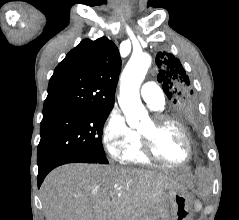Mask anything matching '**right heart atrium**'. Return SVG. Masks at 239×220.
I'll use <instances>...</instances> for the list:
<instances>
[{
  "label": "right heart atrium",
  "instance_id": "obj_1",
  "mask_svg": "<svg viewBox=\"0 0 239 220\" xmlns=\"http://www.w3.org/2000/svg\"><path fill=\"white\" fill-rule=\"evenodd\" d=\"M102 140L113 159H122L125 151L138 142L139 135L127 124L121 110L113 108L104 121Z\"/></svg>",
  "mask_w": 239,
  "mask_h": 220
}]
</instances>
